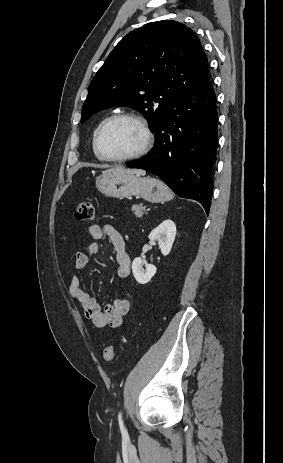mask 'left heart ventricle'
<instances>
[{"instance_id":"obj_1","label":"left heart ventricle","mask_w":283,"mask_h":463,"mask_svg":"<svg viewBox=\"0 0 283 463\" xmlns=\"http://www.w3.org/2000/svg\"><path fill=\"white\" fill-rule=\"evenodd\" d=\"M144 135L140 126L132 120L122 119L109 124L101 134L102 152L110 157H122L140 149Z\"/></svg>"}]
</instances>
